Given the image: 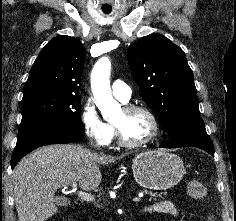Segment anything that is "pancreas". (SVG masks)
I'll list each match as a JSON object with an SVG mask.
<instances>
[{
    "mask_svg": "<svg viewBox=\"0 0 236 221\" xmlns=\"http://www.w3.org/2000/svg\"><path fill=\"white\" fill-rule=\"evenodd\" d=\"M150 195V200H156L158 197L162 198V194H156V193H152V192H146Z\"/></svg>",
    "mask_w": 236,
    "mask_h": 221,
    "instance_id": "cf45deb5",
    "label": "pancreas"
}]
</instances>
